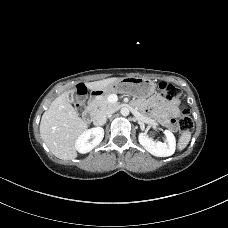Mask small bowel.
Here are the masks:
<instances>
[{
    "label": "small bowel",
    "mask_w": 228,
    "mask_h": 228,
    "mask_svg": "<svg viewBox=\"0 0 228 228\" xmlns=\"http://www.w3.org/2000/svg\"><path fill=\"white\" fill-rule=\"evenodd\" d=\"M150 103L153 109L159 113L160 121L165 125L169 123L168 114L173 116L178 114V102L176 101L168 102L159 96H154L150 99Z\"/></svg>",
    "instance_id": "obj_1"
}]
</instances>
